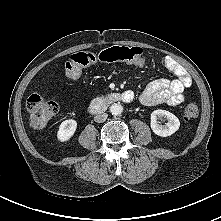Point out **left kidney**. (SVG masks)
I'll list each match as a JSON object with an SVG mask.
<instances>
[{"label":"left kidney","mask_w":221,"mask_h":221,"mask_svg":"<svg viewBox=\"0 0 221 221\" xmlns=\"http://www.w3.org/2000/svg\"><path fill=\"white\" fill-rule=\"evenodd\" d=\"M166 117L168 122L165 125L158 124L157 119ZM152 131L161 137H167L175 133L180 127L179 119L171 112L166 110H155L151 113V123Z\"/></svg>","instance_id":"obj_1"}]
</instances>
